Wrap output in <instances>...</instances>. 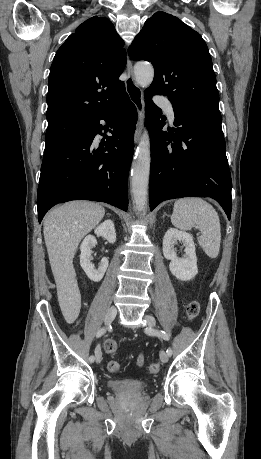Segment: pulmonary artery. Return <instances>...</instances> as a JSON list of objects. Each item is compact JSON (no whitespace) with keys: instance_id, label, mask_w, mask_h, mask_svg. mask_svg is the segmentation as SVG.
Segmentation results:
<instances>
[{"instance_id":"pulmonary-artery-1","label":"pulmonary artery","mask_w":261,"mask_h":459,"mask_svg":"<svg viewBox=\"0 0 261 459\" xmlns=\"http://www.w3.org/2000/svg\"><path fill=\"white\" fill-rule=\"evenodd\" d=\"M157 102L164 109V111L166 112L169 120L171 122H174L175 115H174V109H173L171 103L167 99H163V98L158 99Z\"/></svg>"}]
</instances>
